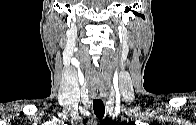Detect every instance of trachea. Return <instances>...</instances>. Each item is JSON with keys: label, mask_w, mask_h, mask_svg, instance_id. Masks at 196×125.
<instances>
[{"label": "trachea", "mask_w": 196, "mask_h": 125, "mask_svg": "<svg viewBox=\"0 0 196 125\" xmlns=\"http://www.w3.org/2000/svg\"><path fill=\"white\" fill-rule=\"evenodd\" d=\"M93 110H94L95 115L99 119H102L104 117V113H105V106H104L103 101L100 99L93 100Z\"/></svg>", "instance_id": "1"}]
</instances>
